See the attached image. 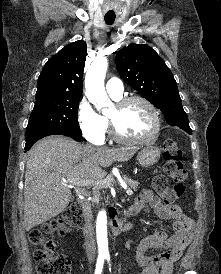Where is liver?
<instances>
[{
  "label": "liver",
  "mask_w": 221,
  "mask_h": 274,
  "mask_svg": "<svg viewBox=\"0 0 221 274\" xmlns=\"http://www.w3.org/2000/svg\"><path fill=\"white\" fill-rule=\"evenodd\" d=\"M136 148L110 149L82 145L63 136L38 141L27 154L24 186V224L29 231L59 215L72 196L63 181L99 180L113 162L130 160Z\"/></svg>",
  "instance_id": "6515ba94"
}]
</instances>
